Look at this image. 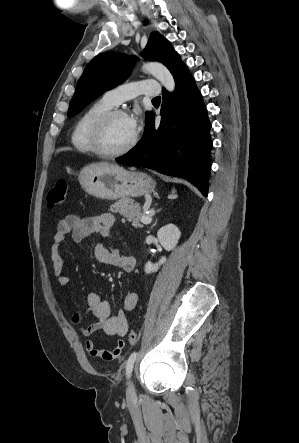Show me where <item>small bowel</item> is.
<instances>
[{"label": "small bowel", "instance_id": "c3829d8e", "mask_svg": "<svg viewBox=\"0 0 299 443\" xmlns=\"http://www.w3.org/2000/svg\"><path fill=\"white\" fill-rule=\"evenodd\" d=\"M114 225L115 217L112 214L85 218L77 215H68L58 222L51 247V259L59 287L67 288L69 286V279L65 275L61 255V245L68 236L71 235L75 242H80L95 233L99 234L102 239H105L109 236ZM94 257L100 263L119 267L126 272L133 271L137 264V259L134 255L123 254L116 248L106 246L103 241H99L95 245ZM137 303L138 295L135 292H128L124 296L122 309L117 314L112 315L109 302L104 300L99 294L92 292L87 296V306L82 310L76 311L72 320L74 323L79 324L84 319L86 313L91 311L97 318V321L81 329L85 337H90L100 330L111 337H123L128 330L126 313L133 311ZM85 346L91 356L110 361L120 355L124 348V341L118 340L113 348L103 349L96 347L94 341L88 338Z\"/></svg>", "mask_w": 299, "mask_h": 443}]
</instances>
